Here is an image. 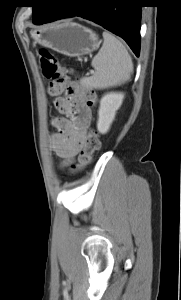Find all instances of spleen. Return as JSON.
<instances>
[{
  "instance_id": "1",
  "label": "spleen",
  "mask_w": 181,
  "mask_h": 300,
  "mask_svg": "<svg viewBox=\"0 0 181 300\" xmlns=\"http://www.w3.org/2000/svg\"><path fill=\"white\" fill-rule=\"evenodd\" d=\"M103 45L92 60L96 70L91 77L81 80L92 89H106L128 81L133 72V62L123 43L111 33L103 32Z\"/></svg>"
}]
</instances>
